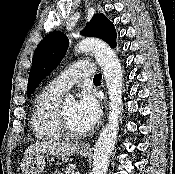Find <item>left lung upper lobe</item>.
<instances>
[{"label":"left lung upper lobe","mask_w":175,"mask_h":174,"mask_svg":"<svg viewBox=\"0 0 175 174\" xmlns=\"http://www.w3.org/2000/svg\"><path fill=\"white\" fill-rule=\"evenodd\" d=\"M84 36L98 37L111 47L116 46V31L113 23L103 14H95L83 30ZM69 45L67 36L61 32L47 35L35 50L29 74L27 96L37 88L41 79L60 63Z\"/></svg>","instance_id":"5c2ea615"}]
</instances>
